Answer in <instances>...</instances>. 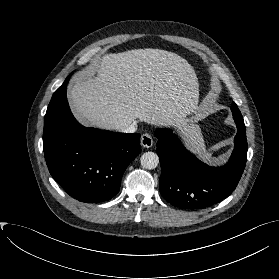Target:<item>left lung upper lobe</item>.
I'll use <instances>...</instances> for the list:
<instances>
[{"instance_id":"5c2ea615","label":"left lung upper lobe","mask_w":279,"mask_h":279,"mask_svg":"<svg viewBox=\"0 0 279 279\" xmlns=\"http://www.w3.org/2000/svg\"><path fill=\"white\" fill-rule=\"evenodd\" d=\"M231 111H232L234 120L244 122L243 117L240 113V110L238 109V106L235 103L232 104Z\"/></svg>"}]
</instances>
